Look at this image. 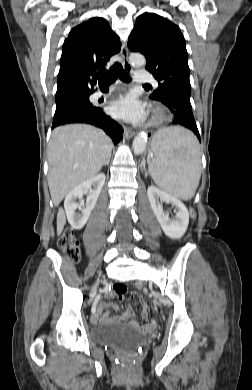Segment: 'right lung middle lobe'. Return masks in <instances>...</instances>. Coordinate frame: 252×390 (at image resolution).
I'll return each instance as SVG.
<instances>
[{
  "mask_svg": "<svg viewBox=\"0 0 252 390\" xmlns=\"http://www.w3.org/2000/svg\"><path fill=\"white\" fill-rule=\"evenodd\" d=\"M79 100L89 101V95L78 96V97L71 98V99L64 100V101H60V102L56 101V106L61 105V104L66 103V102H69V101H79Z\"/></svg>",
  "mask_w": 252,
  "mask_h": 390,
  "instance_id": "right-lung-middle-lobe-1",
  "label": "right lung middle lobe"
}]
</instances>
